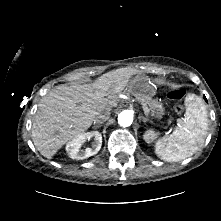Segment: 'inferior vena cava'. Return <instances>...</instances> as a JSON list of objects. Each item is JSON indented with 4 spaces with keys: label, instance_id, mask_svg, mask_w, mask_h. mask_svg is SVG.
<instances>
[{
    "label": "inferior vena cava",
    "instance_id": "inferior-vena-cava-1",
    "mask_svg": "<svg viewBox=\"0 0 221 221\" xmlns=\"http://www.w3.org/2000/svg\"><path fill=\"white\" fill-rule=\"evenodd\" d=\"M109 112L98 113L94 118V124H102L109 118Z\"/></svg>",
    "mask_w": 221,
    "mask_h": 221
}]
</instances>
